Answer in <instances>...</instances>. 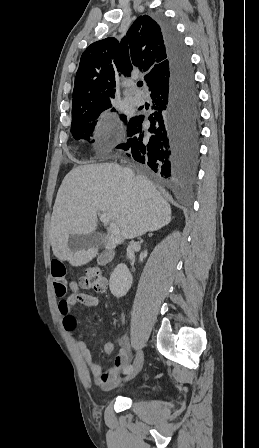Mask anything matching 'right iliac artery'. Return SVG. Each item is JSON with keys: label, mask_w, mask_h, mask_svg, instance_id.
<instances>
[{"label": "right iliac artery", "mask_w": 259, "mask_h": 448, "mask_svg": "<svg viewBox=\"0 0 259 448\" xmlns=\"http://www.w3.org/2000/svg\"><path fill=\"white\" fill-rule=\"evenodd\" d=\"M132 369H133V366L132 365H128V366H126L124 368L123 373L124 374H128V373H130L132 371Z\"/></svg>", "instance_id": "82829eb1"}]
</instances>
